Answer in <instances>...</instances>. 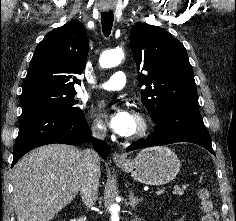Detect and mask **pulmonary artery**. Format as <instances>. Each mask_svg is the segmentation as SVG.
Wrapping results in <instances>:
<instances>
[{
	"label": "pulmonary artery",
	"mask_w": 236,
	"mask_h": 221,
	"mask_svg": "<svg viewBox=\"0 0 236 221\" xmlns=\"http://www.w3.org/2000/svg\"><path fill=\"white\" fill-rule=\"evenodd\" d=\"M126 80V74L123 71H117L113 73L110 78L96 85L95 88L106 91L121 90L124 88Z\"/></svg>",
	"instance_id": "obj_1"
}]
</instances>
